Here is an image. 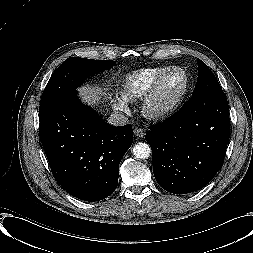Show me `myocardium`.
Masks as SVG:
<instances>
[{"label": "myocardium", "instance_id": "f54148a6", "mask_svg": "<svg viewBox=\"0 0 253 253\" xmlns=\"http://www.w3.org/2000/svg\"><path fill=\"white\" fill-rule=\"evenodd\" d=\"M178 70L182 72L184 76V86L181 90V92L177 95V97L166 106H159L156 103L157 93L159 90V87L164 80V78L172 71ZM190 87V79L187 71L180 67V66H170L166 70H164L162 73H160L146 94L144 95L142 102H141V114L146 119L152 120V121H161L172 114H174L177 109L182 104L183 100L185 99Z\"/></svg>", "mask_w": 253, "mask_h": 253}]
</instances>
